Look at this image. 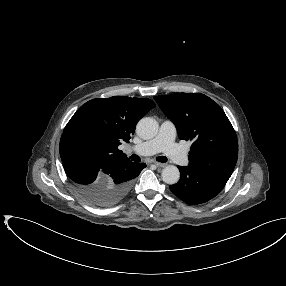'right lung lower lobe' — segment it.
Returning a JSON list of instances; mask_svg holds the SVG:
<instances>
[{
  "instance_id": "1",
  "label": "right lung lower lobe",
  "mask_w": 286,
  "mask_h": 286,
  "mask_svg": "<svg viewBox=\"0 0 286 286\" xmlns=\"http://www.w3.org/2000/svg\"><path fill=\"white\" fill-rule=\"evenodd\" d=\"M60 156L80 196L101 207L114 205L127 195L133 179L146 167L145 163L131 161L102 164L88 145L73 134L62 135Z\"/></svg>"
}]
</instances>
